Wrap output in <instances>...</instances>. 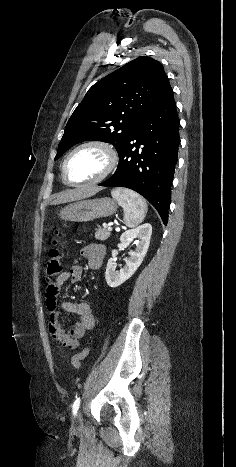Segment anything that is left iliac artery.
<instances>
[{"label":"left iliac artery","instance_id":"left-iliac-artery-1","mask_svg":"<svg viewBox=\"0 0 236 467\" xmlns=\"http://www.w3.org/2000/svg\"><path fill=\"white\" fill-rule=\"evenodd\" d=\"M79 406H80V397L76 398V400H75L74 403H73V406H72L73 415H76V414H77V411H78V409H79Z\"/></svg>","mask_w":236,"mask_h":467}]
</instances>
